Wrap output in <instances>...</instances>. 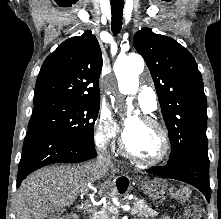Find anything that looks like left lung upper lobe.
Masks as SVG:
<instances>
[{
    "label": "left lung upper lobe",
    "instance_id": "left-lung-upper-lobe-1",
    "mask_svg": "<svg viewBox=\"0 0 221 219\" xmlns=\"http://www.w3.org/2000/svg\"><path fill=\"white\" fill-rule=\"evenodd\" d=\"M152 75L171 143L169 161L195 147L207 148L206 96L193 56L174 39L149 28L133 40Z\"/></svg>",
    "mask_w": 221,
    "mask_h": 219
}]
</instances>
